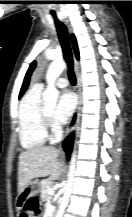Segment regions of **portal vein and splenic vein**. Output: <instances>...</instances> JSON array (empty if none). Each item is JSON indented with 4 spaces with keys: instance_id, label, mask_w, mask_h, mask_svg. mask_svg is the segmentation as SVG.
Here are the masks:
<instances>
[{
    "instance_id": "obj_1",
    "label": "portal vein and splenic vein",
    "mask_w": 132,
    "mask_h": 217,
    "mask_svg": "<svg viewBox=\"0 0 132 217\" xmlns=\"http://www.w3.org/2000/svg\"><path fill=\"white\" fill-rule=\"evenodd\" d=\"M49 195L50 196L54 195V191L52 189L49 191Z\"/></svg>"
}]
</instances>
